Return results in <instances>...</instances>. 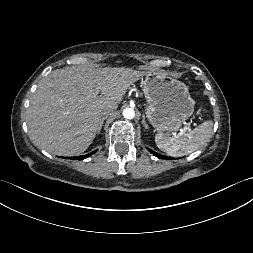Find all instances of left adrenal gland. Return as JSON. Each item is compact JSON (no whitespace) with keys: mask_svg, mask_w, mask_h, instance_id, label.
Wrapping results in <instances>:
<instances>
[{"mask_svg":"<svg viewBox=\"0 0 253 253\" xmlns=\"http://www.w3.org/2000/svg\"><path fill=\"white\" fill-rule=\"evenodd\" d=\"M142 118H143V119H142V124H143L144 128H145V129H148V124H147L146 121H145V116L143 115Z\"/></svg>","mask_w":253,"mask_h":253,"instance_id":"a2214340","label":"left adrenal gland"}]
</instances>
